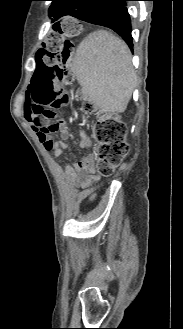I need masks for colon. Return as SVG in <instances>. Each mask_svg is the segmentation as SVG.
I'll return each mask as SVG.
<instances>
[{
	"mask_svg": "<svg viewBox=\"0 0 183 329\" xmlns=\"http://www.w3.org/2000/svg\"><path fill=\"white\" fill-rule=\"evenodd\" d=\"M76 32H80L78 19H72L71 14H62L61 19L55 20V25H49L48 31H43V38L47 39L40 46L38 54L33 56L36 72L51 74H33L23 113L43 118L41 132L44 134L58 130L56 125L47 121L54 117L56 110L70 101L62 81H65V64L71 55V44H77ZM78 43L92 44L93 38L79 37ZM84 109L90 112L93 105L86 102ZM94 134L98 142L97 172L104 177L110 176L129 152L126 125L117 114L100 115L94 126ZM51 144V141L46 143L48 147Z\"/></svg>",
	"mask_w": 183,
	"mask_h": 329,
	"instance_id": "1",
	"label": "colon"
}]
</instances>
